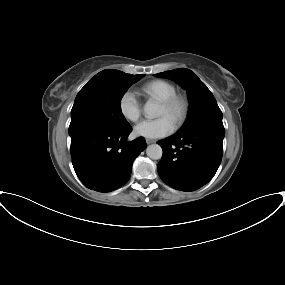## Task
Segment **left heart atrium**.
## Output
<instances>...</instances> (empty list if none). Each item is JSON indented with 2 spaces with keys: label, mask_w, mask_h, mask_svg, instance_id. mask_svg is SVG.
Listing matches in <instances>:
<instances>
[{
  "label": "left heart atrium",
  "mask_w": 285,
  "mask_h": 285,
  "mask_svg": "<svg viewBox=\"0 0 285 285\" xmlns=\"http://www.w3.org/2000/svg\"><path fill=\"white\" fill-rule=\"evenodd\" d=\"M175 129L174 122L167 116L156 119L143 120L134 128V133L139 137L155 139L171 134Z\"/></svg>",
  "instance_id": "obj_1"
}]
</instances>
